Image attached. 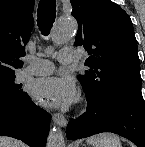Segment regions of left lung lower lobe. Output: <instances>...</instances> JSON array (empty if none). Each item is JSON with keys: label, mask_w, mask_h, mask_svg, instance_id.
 Masks as SVG:
<instances>
[{"label": "left lung lower lobe", "mask_w": 145, "mask_h": 147, "mask_svg": "<svg viewBox=\"0 0 145 147\" xmlns=\"http://www.w3.org/2000/svg\"><path fill=\"white\" fill-rule=\"evenodd\" d=\"M112 132L131 140L137 147H145V104L141 88L122 90L109 99L92 104L67 127L69 140Z\"/></svg>", "instance_id": "obj_1"}]
</instances>
